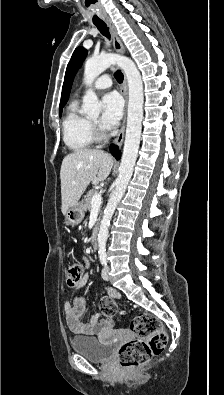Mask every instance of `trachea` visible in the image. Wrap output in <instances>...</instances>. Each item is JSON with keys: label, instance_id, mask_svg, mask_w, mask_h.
<instances>
[{"label": "trachea", "instance_id": "3493384b", "mask_svg": "<svg viewBox=\"0 0 224 395\" xmlns=\"http://www.w3.org/2000/svg\"><path fill=\"white\" fill-rule=\"evenodd\" d=\"M95 26L98 28V30L100 31V33L102 35H104L107 38H110V33H109V28L107 27V25L103 22V21H98L94 23ZM115 78L117 80L118 83H122L123 82V74L121 71H116L115 72Z\"/></svg>", "mask_w": 224, "mask_h": 395}]
</instances>
